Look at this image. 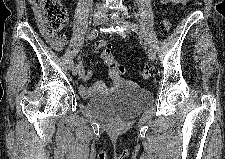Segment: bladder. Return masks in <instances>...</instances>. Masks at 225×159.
<instances>
[{
    "instance_id": "1",
    "label": "bladder",
    "mask_w": 225,
    "mask_h": 159,
    "mask_svg": "<svg viewBox=\"0 0 225 159\" xmlns=\"http://www.w3.org/2000/svg\"><path fill=\"white\" fill-rule=\"evenodd\" d=\"M152 102L151 92L136 86H123L90 98L87 107L104 120H126L143 112Z\"/></svg>"
}]
</instances>
